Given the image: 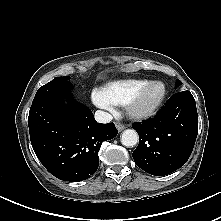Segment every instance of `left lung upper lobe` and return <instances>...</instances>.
I'll return each mask as SVG.
<instances>
[{
  "mask_svg": "<svg viewBox=\"0 0 221 221\" xmlns=\"http://www.w3.org/2000/svg\"><path fill=\"white\" fill-rule=\"evenodd\" d=\"M182 84V82L180 81V80H177V82H176V87H178L179 85H181Z\"/></svg>",
  "mask_w": 221,
  "mask_h": 221,
  "instance_id": "1",
  "label": "left lung upper lobe"
}]
</instances>
